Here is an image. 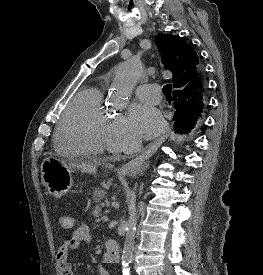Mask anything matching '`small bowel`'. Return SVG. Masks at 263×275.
Instances as JSON below:
<instances>
[{
  "label": "small bowel",
  "mask_w": 263,
  "mask_h": 275,
  "mask_svg": "<svg viewBox=\"0 0 263 275\" xmlns=\"http://www.w3.org/2000/svg\"><path fill=\"white\" fill-rule=\"evenodd\" d=\"M90 241L91 233L87 225L79 226L63 241L57 252V263L61 275H74L72 264L69 261V254L77 250L82 243H88ZM100 274L109 275V273L102 268L100 269Z\"/></svg>",
  "instance_id": "small-bowel-1"
}]
</instances>
